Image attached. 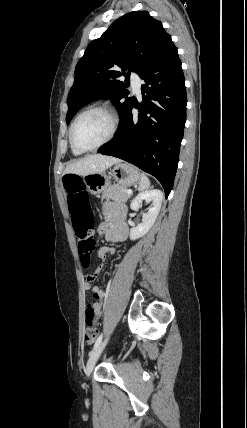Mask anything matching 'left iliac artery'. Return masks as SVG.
<instances>
[{
  "instance_id": "left-iliac-artery-1",
  "label": "left iliac artery",
  "mask_w": 247,
  "mask_h": 428,
  "mask_svg": "<svg viewBox=\"0 0 247 428\" xmlns=\"http://www.w3.org/2000/svg\"><path fill=\"white\" fill-rule=\"evenodd\" d=\"M101 341H102V334L97 338L93 349H95L101 343Z\"/></svg>"
}]
</instances>
